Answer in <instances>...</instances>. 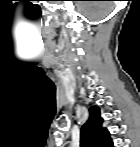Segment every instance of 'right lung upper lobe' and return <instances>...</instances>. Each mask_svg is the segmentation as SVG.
Here are the masks:
<instances>
[{
    "instance_id": "1",
    "label": "right lung upper lobe",
    "mask_w": 140,
    "mask_h": 147,
    "mask_svg": "<svg viewBox=\"0 0 140 147\" xmlns=\"http://www.w3.org/2000/svg\"><path fill=\"white\" fill-rule=\"evenodd\" d=\"M89 118L81 129V147H112L110 133L103 128V119L98 106L89 109Z\"/></svg>"
}]
</instances>
